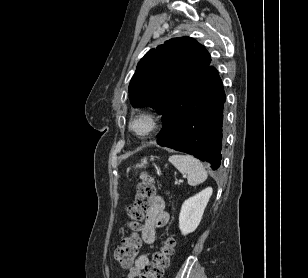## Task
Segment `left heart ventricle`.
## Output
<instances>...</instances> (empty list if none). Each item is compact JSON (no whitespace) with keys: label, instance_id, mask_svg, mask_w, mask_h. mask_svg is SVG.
<instances>
[{"label":"left heart ventricle","instance_id":"b2bd125f","mask_svg":"<svg viewBox=\"0 0 308 278\" xmlns=\"http://www.w3.org/2000/svg\"><path fill=\"white\" fill-rule=\"evenodd\" d=\"M134 127L138 131H143L146 128V123L144 121H138Z\"/></svg>","mask_w":308,"mask_h":278}]
</instances>
